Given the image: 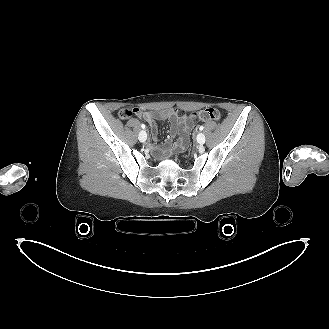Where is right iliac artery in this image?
Masks as SVG:
<instances>
[{"label":"right iliac artery","instance_id":"82829eb1","mask_svg":"<svg viewBox=\"0 0 329 329\" xmlns=\"http://www.w3.org/2000/svg\"><path fill=\"white\" fill-rule=\"evenodd\" d=\"M141 127H142L143 129H145V128H146V126H145L144 124H142V125H141Z\"/></svg>","mask_w":329,"mask_h":329}]
</instances>
